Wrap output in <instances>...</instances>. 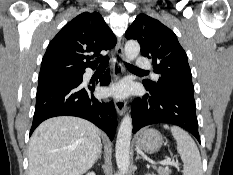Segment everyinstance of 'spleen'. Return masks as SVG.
I'll list each match as a JSON object with an SVG mask.
<instances>
[{"instance_id":"spleen-1","label":"spleen","mask_w":233,"mask_h":175,"mask_svg":"<svg viewBox=\"0 0 233 175\" xmlns=\"http://www.w3.org/2000/svg\"><path fill=\"white\" fill-rule=\"evenodd\" d=\"M164 128L170 129L176 140L177 151L184 164L183 175H203L200 153L191 136L178 126L164 125Z\"/></svg>"}]
</instances>
